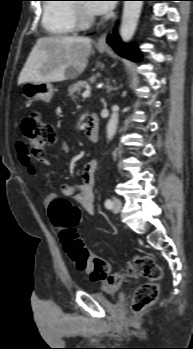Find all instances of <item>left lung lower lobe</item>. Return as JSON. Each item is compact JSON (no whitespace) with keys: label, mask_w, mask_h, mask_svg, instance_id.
<instances>
[{"label":"left lung lower lobe","mask_w":193,"mask_h":349,"mask_svg":"<svg viewBox=\"0 0 193 349\" xmlns=\"http://www.w3.org/2000/svg\"><path fill=\"white\" fill-rule=\"evenodd\" d=\"M149 1V0H146ZM114 44L112 45V37L109 35L108 37V43L113 46L114 50L120 54L123 57H126L128 59H131L133 61H139L141 56L139 51L135 47H128L122 44L120 38L117 36V34H114Z\"/></svg>","instance_id":"1"}]
</instances>
